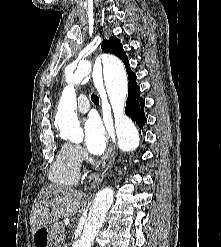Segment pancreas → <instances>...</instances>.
Returning a JSON list of instances; mask_svg holds the SVG:
<instances>
[{"label":"pancreas","mask_w":221,"mask_h":247,"mask_svg":"<svg viewBox=\"0 0 221 247\" xmlns=\"http://www.w3.org/2000/svg\"><path fill=\"white\" fill-rule=\"evenodd\" d=\"M64 229L61 224H55L52 228V235L54 242L56 244V247H61L64 242L63 237Z\"/></svg>","instance_id":"pancreas-1"}]
</instances>
